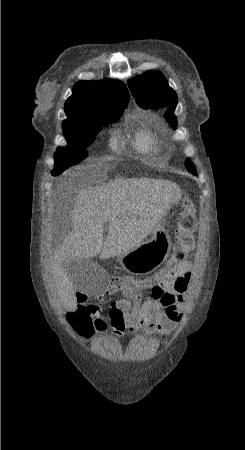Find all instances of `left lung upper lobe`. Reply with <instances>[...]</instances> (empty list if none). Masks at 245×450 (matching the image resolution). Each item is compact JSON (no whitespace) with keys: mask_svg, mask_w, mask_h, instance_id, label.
<instances>
[{"mask_svg":"<svg viewBox=\"0 0 245 450\" xmlns=\"http://www.w3.org/2000/svg\"><path fill=\"white\" fill-rule=\"evenodd\" d=\"M129 88L136 98V102L142 108L158 109L169 107L165 113V118L175 129L177 127L176 117L173 115L177 105V95L169 87L166 79L160 71H148L135 79L128 81ZM185 166L192 174L196 175V170L190 160L185 161Z\"/></svg>","mask_w":245,"mask_h":450,"instance_id":"1","label":"left lung upper lobe"}]
</instances>
